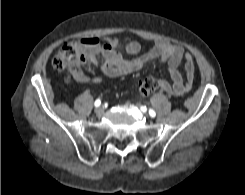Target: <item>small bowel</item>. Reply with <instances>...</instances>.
<instances>
[{
	"label": "small bowel",
	"mask_w": 245,
	"mask_h": 195,
	"mask_svg": "<svg viewBox=\"0 0 245 195\" xmlns=\"http://www.w3.org/2000/svg\"><path fill=\"white\" fill-rule=\"evenodd\" d=\"M88 61L99 68L109 77H120L132 72L138 71L144 66L159 61L167 63L172 83L161 81V89L172 96H183L191 90L194 75L195 64L190 53H187L182 46L172 44L165 40H157L152 48L145 54L127 58L125 53L137 55L141 51V44L137 41L123 45L115 37H109L104 43L98 38H85L81 40ZM184 61L185 76L179 72L178 67ZM79 80H85L82 76ZM101 79L96 77L92 79L93 83L100 82Z\"/></svg>",
	"instance_id": "small-bowel-1"
}]
</instances>
